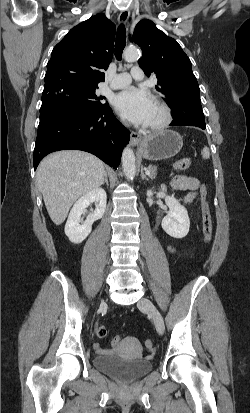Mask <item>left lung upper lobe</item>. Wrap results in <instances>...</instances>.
Returning <instances> with one entry per match:
<instances>
[{
	"mask_svg": "<svg viewBox=\"0 0 250 413\" xmlns=\"http://www.w3.org/2000/svg\"><path fill=\"white\" fill-rule=\"evenodd\" d=\"M132 41L142 49L139 66L148 77L156 75V89L166 96L170 107L177 101L199 97L191 61L175 39L159 30L152 21L143 19L136 25Z\"/></svg>",
	"mask_w": 250,
	"mask_h": 413,
	"instance_id": "obj_1",
	"label": "left lung upper lobe"
}]
</instances>
